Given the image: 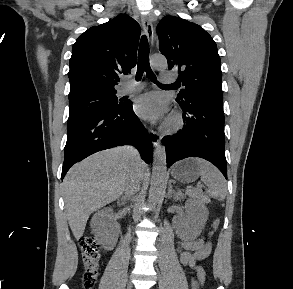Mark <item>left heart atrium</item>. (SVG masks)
<instances>
[{"mask_svg": "<svg viewBox=\"0 0 293 289\" xmlns=\"http://www.w3.org/2000/svg\"><path fill=\"white\" fill-rule=\"evenodd\" d=\"M134 109L140 117L149 121H157L165 116L167 104L162 95L150 92L136 99Z\"/></svg>", "mask_w": 293, "mask_h": 289, "instance_id": "1", "label": "left heart atrium"}]
</instances>
